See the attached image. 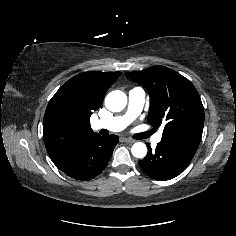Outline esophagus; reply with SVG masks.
I'll list each match as a JSON object with an SVG mask.
<instances>
[{
    "mask_svg": "<svg viewBox=\"0 0 236 236\" xmlns=\"http://www.w3.org/2000/svg\"><path fill=\"white\" fill-rule=\"evenodd\" d=\"M123 141L129 144H132L135 142V140L131 139V138H123Z\"/></svg>",
    "mask_w": 236,
    "mask_h": 236,
    "instance_id": "34e87169",
    "label": "esophagus"
}]
</instances>
